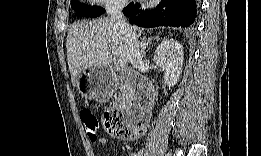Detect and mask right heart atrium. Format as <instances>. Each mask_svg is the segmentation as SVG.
<instances>
[{"label":"right heart atrium","instance_id":"d8ad5b80","mask_svg":"<svg viewBox=\"0 0 261 156\" xmlns=\"http://www.w3.org/2000/svg\"><path fill=\"white\" fill-rule=\"evenodd\" d=\"M111 3H106V5L108 6V5H110Z\"/></svg>","mask_w":261,"mask_h":156}]
</instances>
